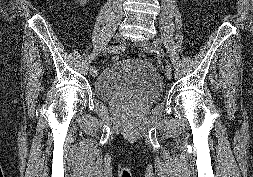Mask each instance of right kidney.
Instances as JSON below:
<instances>
[{
	"label": "right kidney",
	"instance_id": "ca27d5eb",
	"mask_svg": "<svg viewBox=\"0 0 253 177\" xmlns=\"http://www.w3.org/2000/svg\"><path fill=\"white\" fill-rule=\"evenodd\" d=\"M77 2L80 3V5H85L87 0H76Z\"/></svg>",
	"mask_w": 253,
	"mask_h": 177
}]
</instances>
